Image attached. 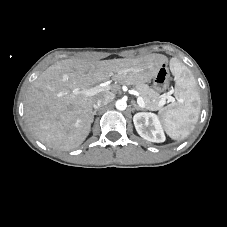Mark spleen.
<instances>
[{
	"mask_svg": "<svg viewBox=\"0 0 227 227\" xmlns=\"http://www.w3.org/2000/svg\"><path fill=\"white\" fill-rule=\"evenodd\" d=\"M175 77L177 102L160 113L168 136L174 140L186 138L197 123L200 113V96L196 82L188 68L179 61L171 62Z\"/></svg>",
	"mask_w": 227,
	"mask_h": 227,
	"instance_id": "obj_1",
	"label": "spleen"
}]
</instances>
